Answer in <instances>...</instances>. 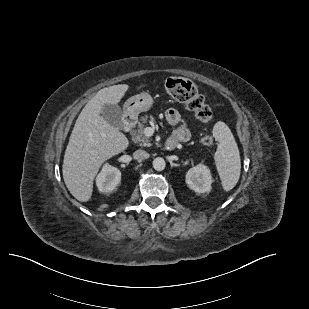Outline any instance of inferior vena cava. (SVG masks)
<instances>
[{
    "label": "inferior vena cava",
    "instance_id": "obj_1",
    "mask_svg": "<svg viewBox=\"0 0 309 309\" xmlns=\"http://www.w3.org/2000/svg\"><path fill=\"white\" fill-rule=\"evenodd\" d=\"M133 157L135 160L143 161L149 158V154L146 151L140 149V150H136L133 153Z\"/></svg>",
    "mask_w": 309,
    "mask_h": 309
}]
</instances>
